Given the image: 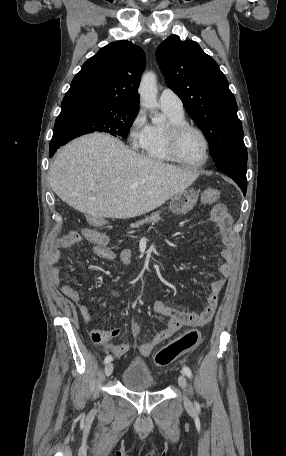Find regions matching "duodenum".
<instances>
[{
  "label": "duodenum",
  "mask_w": 286,
  "mask_h": 456,
  "mask_svg": "<svg viewBox=\"0 0 286 456\" xmlns=\"http://www.w3.org/2000/svg\"><path fill=\"white\" fill-rule=\"evenodd\" d=\"M97 220H98V223L100 225H103L105 223V219L104 218H98Z\"/></svg>",
  "instance_id": "1"
}]
</instances>
